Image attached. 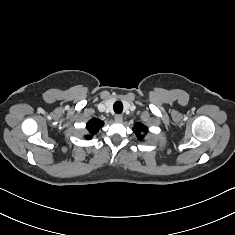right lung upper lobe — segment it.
<instances>
[{
    "instance_id": "right-lung-upper-lobe-1",
    "label": "right lung upper lobe",
    "mask_w": 235,
    "mask_h": 235,
    "mask_svg": "<svg viewBox=\"0 0 235 235\" xmlns=\"http://www.w3.org/2000/svg\"><path fill=\"white\" fill-rule=\"evenodd\" d=\"M104 125L103 121L93 118L87 123V129L88 131L93 135L96 134L99 131V128H101ZM86 139H90L91 136H85Z\"/></svg>"
}]
</instances>
